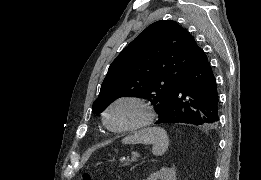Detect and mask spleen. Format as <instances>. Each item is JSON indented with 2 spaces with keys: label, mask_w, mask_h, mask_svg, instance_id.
I'll return each instance as SVG.
<instances>
[{
  "label": "spleen",
  "mask_w": 261,
  "mask_h": 180,
  "mask_svg": "<svg viewBox=\"0 0 261 180\" xmlns=\"http://www.w3.org/2000/svg\"><path fill=\"white\" fill-rule=\"evenodd\" d=\"M123 144H152L153 156H163L167 152L169 138L164 128H144L134 132L133 136H126Z\"/></svg>",
  "instance_id": "obj_1"
}]
</instances>
